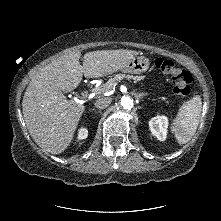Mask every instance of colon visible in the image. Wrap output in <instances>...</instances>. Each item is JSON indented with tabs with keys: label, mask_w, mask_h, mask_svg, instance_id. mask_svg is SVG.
I'll return each mask as SVG.
<instances>
[{
	"label": "colon",
	"mask_w": 221,
	"mask_h": 221,
	"mask_svg": "<svg viewBox=\"0 0 221 221\" xmlns=\"http://www.w3.org/2000/svg\"><path fill=\"white\" fill-rule=\"evenodd\" d=\"M155 67L163 74L170 77L173 83V93L179 97H185L190 93L192 76L188 71L182 70L171 61L164 58H157L154 61Z\"/></svg>",
	"instance_id": "obj_1"
}]
</instances>
